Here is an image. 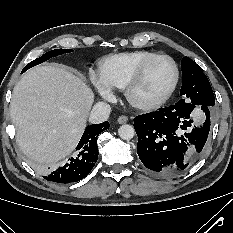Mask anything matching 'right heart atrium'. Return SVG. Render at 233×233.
<instances>
[{"instance_id": "obj_1", "label": "right heart atrium", "mask_w": 233, "mask_h": 233, "mask_svg": "<svg viewBox=\"0 0 233 233\" xmlns=\"http://www.w3.org/2000/svg\"><path fill=\"white\" fill-rule=\"evenodd\" d=\"M90 80L98 91L100 96L105 100H112L114 97V93L110 87H108L105 82L103 81L101 74L91 71L90 72Z\"/></svg>"}]
</instances>
